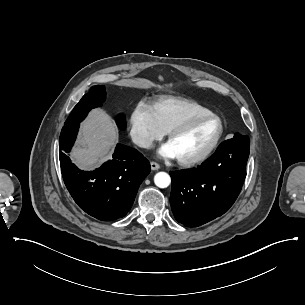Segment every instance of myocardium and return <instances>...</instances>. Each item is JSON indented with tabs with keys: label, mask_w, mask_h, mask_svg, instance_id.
Instances as JSON below:
<instances>
[{
	"label": "myocardium",
	"mask_w": 305,
	"mask_h": 305,
	"mask_svg": "<svg viewBox=\"0 0 305 305\" xmlns=\"http://www.w3.org/2000/svg\"><path fill=\"white\" fill-rule=\"evenodd\" d=\"M216 118L220 121L221 129L219 132V135L217 136L216 140L213 142V144L208 147L205 151L202 153L193 156V157H187V158H181L177 157L178 162L183 166H193L196 164H199L205 160H207L222 144L223 140L225 139L226 133H227V125L225 120L217 113L215 112H208L206 114L194 116L187 118L174 126L169 132H168V142L170 143L177 135L184 132L187 128H189L191 125L203 122L205 120Z\"/></svg>",
	"instance_id": "myocardium-1"
}]
</instances>
